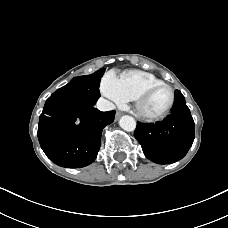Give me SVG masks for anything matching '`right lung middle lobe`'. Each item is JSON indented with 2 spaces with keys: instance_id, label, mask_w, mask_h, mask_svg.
<instances>
[{
  "instance_id": "obj_1",
  "label": "right lung middle lobe",
  "mask_w": 228,
  "mask_h": 228,
  "mask_svg": "<svg viewBox=\"0 0 228 228\" xmlns=\"http://www.w3.org/2000/svg\"><path fill=\"white\" fill-rule=\"evenodd\" d=\"M104 72L105 69L101 68L91 75L74 77L51 97L69 100L84 107L94 106L100 97L99 84Z\"/></svg>"
}]
</instances>
